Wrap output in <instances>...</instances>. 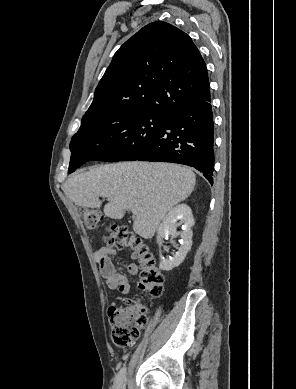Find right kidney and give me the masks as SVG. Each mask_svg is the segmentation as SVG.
Here are the masks:
<instances>
[{"mask_svg":"<svg viewBox=\"0 0 296 389\" xmlns=\"http://www.w3.org/2000/svg\"><path fill=\"white\" fill-rule=\"evenodd\" d=\"M194 223L192 210L186 204H179L167 213L157 230L158 244L161 246L164 242L163 239H168L169 235L172 237L180 236L181 240H179L180 246L177 247L178 251L175 255L169 259L163 258L161 260V270L171 271L183 262L192 246L193 232L191 227ZM180 225H182V231L178 232L177 227Z\"/></svg>","mask_w":296,"mask_h":389,"instance_id":"right-kidney-1","label":"right kidney"}]
</instances>
